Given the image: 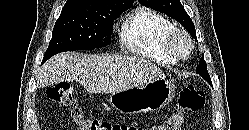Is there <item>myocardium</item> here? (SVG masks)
<instances>
[{
  "label": "myocardium",
  "instance_id": "myocardium-1",
  "mask_svg": "<svg viewBox=\"0 0 249 130\" xmlns=\"http://www.w3.org/2000/svg\"><path fill=\"white\" fill-rule=\"evenodd\" d=\"M184 39L188 46H189V51L187 53V55L182 56L180 55L177 51H176V42L178 41V39ZM194 42L191 38V36L189 35V33L181 28H177L174 27L173 29H171L165 39H164V50L165 52L175 61H185L188 60L193 52H194Z\"/></svg>",
  "mask_w": 249,
  "mask_h": 130
}]
</instances>
